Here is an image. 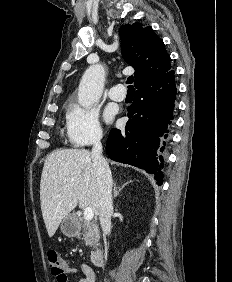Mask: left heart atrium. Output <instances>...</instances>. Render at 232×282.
Masks as SVG:
<instances>
[{"label":"left heart atrium","mask_w":232,"mask_h":282,"mask_svg":"<svg viewBox=\"0 0 232 282\" xmlns=\"http://www.w3.org/2000/svg\"><path fill=\"white\" fill-rule=\"evenodd\" d=\"M112 117V112L110 111V110H108L107 112H106V118L107 119H110Z\"/></svg>","instance_id":"obj_1"}]
</instances>
